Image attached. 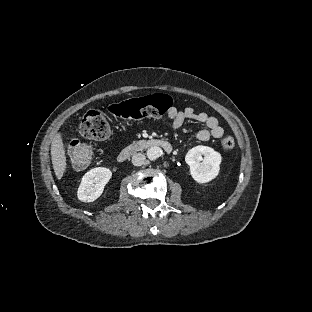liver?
I'll return each instance as SVG.
<instances>
[{"mask_svg":"<svg viewBox=\"0 0 312 312\" xmlns=\"http://www.w3.org/2000/svg\"><path fill=\"white\" fill-rule=\"evenodd\" d=\"M50 151L55 176L58 180H61L67 169L63 133L61 131L57 132L53 137Z\"/></svg>","mask_w":312,"mask_h":312,"instance_id":"6515ba94","label":"liver"}]
</instances>
